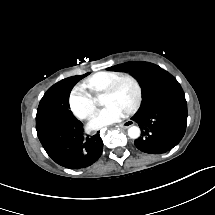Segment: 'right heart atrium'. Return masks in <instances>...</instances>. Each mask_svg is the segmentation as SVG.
<instances>
[{
  "instance_id": "obj_1",
  "label": "right heart atrium",
  "mask_w": 215,
  "mask_h": 215,
  "mask_svg": "<svg viewBox=\"0 0 215 215\" xmlns=\"http://www.w3.org/2000/svg\"><path fill=\"white\" fill-rule=\"evenodd\" d=\"M70 106L73 112L82 119L91 117L95 112V103L88 97L73 90L70 96Z\"/></svg>"
}]
</instances>
